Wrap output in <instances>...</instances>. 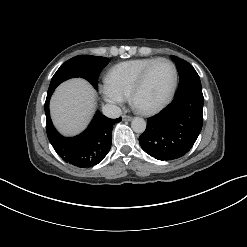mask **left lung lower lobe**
<instances>
[{
	"label": "left lung lower lobe",
	"mask_w": 247,
	"mask_h": 247,
	"mask_svg": "<svg viewBox=\"0 0 247 247\" xmlns=\"http://www.w3.org/2000/svg\"><path fill=\"white\" fill-rule=\"evenodd\" d=\"M203 104L202 88L176 92L167 108L147 120L146 130L139 137L142 149L158 160L186 154L202 129Z\"/></svg>",
	"instance_id": "obj_1"
}]
</instances>
